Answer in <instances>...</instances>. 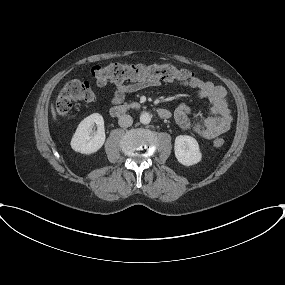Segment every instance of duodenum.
Wrapping results in <instances>:
<instances>
[{
    "instance_id": "410a0bca",
    "label": "duodenum",
    "mask_w": 285,
    "mask_h": 285,
    "mask_svg": "<svg viewBox=\"0 0 285 285\" xmlns=\"http://www.w3.org/2000/svg\"><path fill=\"white\" fill-rule=\"evenodd\" d=\"M132 108L133 106L129 104H116L110 108V115L112 117H121L122 115L126 114ZM157 114L162 119H167L171 115L169 110L162 108V107L157 108Z\"/></svg>"
}]
</instances>
